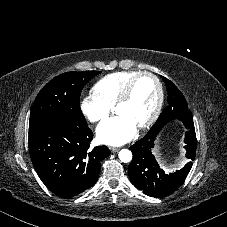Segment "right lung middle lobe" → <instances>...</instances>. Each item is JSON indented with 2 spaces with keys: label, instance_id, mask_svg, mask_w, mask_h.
<instances>
[{
  "label": "right lung middle lobe",
  "instance_id": "obj_1",
  "mask_svg": "<svg viewBox=\"0 0 227 227\" xmlns=\"http://www.w3.org/2000/svg\"><path fill=\"white\" fill-rule=\"evenodd\" d=\"M99 73L101 72H66L47 83L33 103L29 131L55 120L87 125L80 109V94L84 85Z\"/></svg>",
  "mask_w": 227,
  "mask_h": 227
}]
</instances>
